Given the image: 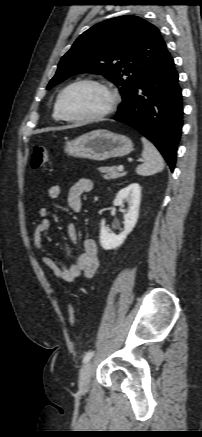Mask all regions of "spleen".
Listing matches in <instances>:
<instances>
[{"label": "spleen", "instance_id": "obj_1", "mask_svg": "<svg viewBox=\"0 0 202 437\" xmlns=\"http://www.w3.org/2000/svg\"><path fill=\"white\" fill-rule=\"evenodd\" d=\"M142 157L144 163L136 168V173L141 176H150L164 169V161L156 147L146 138L142 137Z\"/></svg>", "mask_w": 202, "mask_h": 437}]
</instances>
